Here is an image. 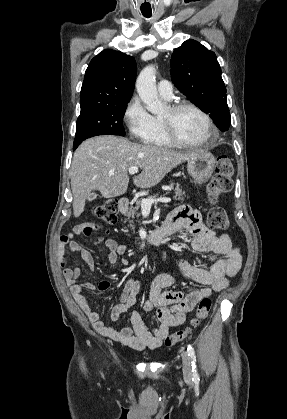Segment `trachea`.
<instances>
[{
    "label": "trachea",
    "instance_id": "3493384b",
    "mask_svg": "<svg viewBox=\"0 0 287 419\" xmlns=\"http://www.w3.org/2000/svg\"><path fill=\"white\" fill-rule=\"evenodd\" d=\"M143 15L147 18L151 17V15H148V14H143Z\"/></svg>",
    "mask_w": 287,
    "mask_h": 419
}]
</instances>
